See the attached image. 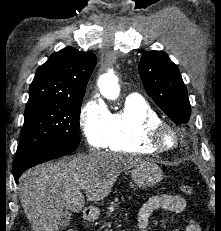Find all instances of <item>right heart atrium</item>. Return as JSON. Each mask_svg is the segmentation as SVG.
<instances>
[{
    "label": "right heart atrium",
    "mask_w": 221,
    "mask_h": 231,
    "mask_svg": "<svg viewBox=\"0 0 221 231\" xmlns=\"http://www.w3.org/2000/svg\"><path fill=\"white\" fill-rule=\"evenodd\" d=\"M111 113L96 97L90 98L82 107L80 126L87 143L94 149L105 146L108 137Z\"/></svg>",
    "instance_id": "d8ad5b80"
}]
</instances>
